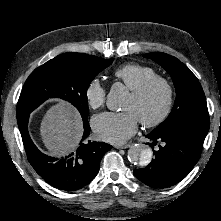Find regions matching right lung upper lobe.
Wrapping results in <instances>:
<instances>
[{
    "mask_svg": "<svg viewBox=\"0 0 221 221\" xmlns=\"http://www.w3.org/2000/svg\"><path fill=\"white\" fill-rule=\"evenodd\" d=\"M63 55L70 56V57H72L74 59H78V60H84L90 56L88 54H80V53H72V52L65 53Z\"/></svg>",
    "mask_w": 221,
    "mask_h": 221,
    "instance_id": "right-lung-upper-lobe-1",
    "label": "right lung upper lobe"
}]
</instances>
